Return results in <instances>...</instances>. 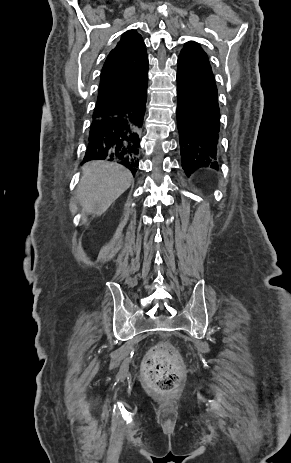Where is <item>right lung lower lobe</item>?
I'll return each instance as SVG.
<instances>
[{"mask_svg":"<svg viewBox=\"0 0 291 463\" xmlns=\"http://www.w3.org/2000/svg\"><path fill=\"white\" fill-rule=\"evenodd\" d=\"M147 79L140 88L106 116L90 126L84 162L107 160L127 167L133 175L138 168L140 132L147 100Z\"/></svg>","mask_w":291,"mask_h":463,"instance_id":"obj_1","label":"right lung lower lobe"}]
</instances>
